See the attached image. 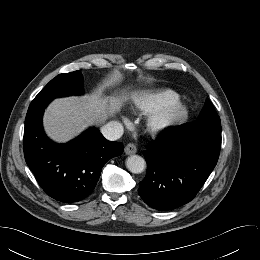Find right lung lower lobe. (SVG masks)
Here are the masks:
<instances>
[{
	"mask_svg": "<svg viewBox=\"0 0 260 260\" xmlns=\"http://www.w3.org/2000/svg\"><path fill=\"white\" fill-rule=\"evenodd\" d=\"M52 99H34L24 128V156L42 189L63 203L88 197L95 188L102 167L123 152L120 142L108 141L91 128L66 143L52 142L44 133L42 115Z\"/></svg>",
	"mask_w": 260,
	"mask_h": 260,
	"instance_id": "1",
	"label": "right lung lower lobe"
}]
</instances>
